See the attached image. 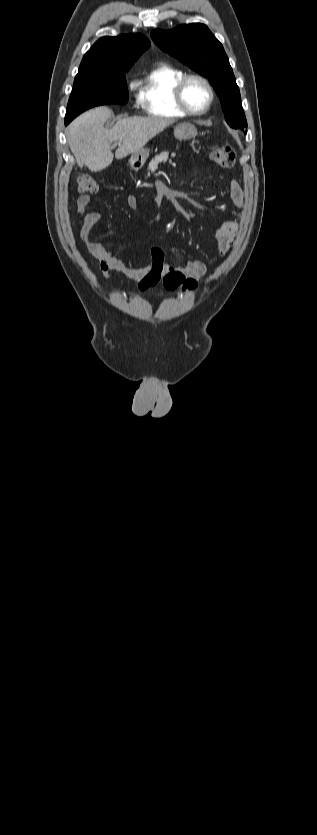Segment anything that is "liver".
Returning <instances> with one entry per match:
<instances>
[{
	"instance_id": "6515ba94",
	"label": "liver",
	"mask_w": 317,
	"mask_h": 835,
	"mask_svg": "<svg viewBox=\"0 0 317 835\" xmlns=\"http://www.w3.org/2000/svg\"><path fill=\"white\" fill-rule=\"evenodd\" d=\"M113 116L107 107H97L78 116L68 127L67 140L77 164L92 172L101 171L113 161L111 145L119 142L116 159L139 152L172 122L162 118L127 117L112 128H104Z\"/></svg>"
}]
</instances>
